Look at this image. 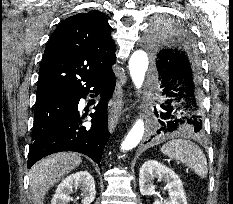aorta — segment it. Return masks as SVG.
<instances>
[{
    "label": "aorta",
    "mask_w": 233,
    "mask_h": 204,
    "mask_svg": "<svg viewBox=\"0 0 233 204\" xmlns=\"http://www.w3.org/2000/svg\"><path fill=\"white\" fill-rule=\"evenodd\" d=\"M148 69V56L143 50L135 51L129 60V71L135 87H142L146 71ZM145 127L142 119H138L132 126L125 140L121 144V150L129 151L135 148L144 135Z\"/></svg>",
    "instance_id": "obj_1"
}]
</instances>
